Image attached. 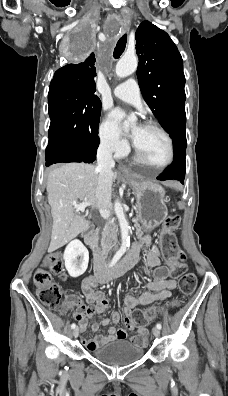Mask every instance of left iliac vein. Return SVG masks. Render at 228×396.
<instances>
[{
  "label": "left iliac vein",
  "mask_w": 228,
  "mask_h": 396,
  "mask_svg": "<svg viewBox=\"0 0 228 396\" xmlns=\"http://www.w3.org/2000/svg\"><path fill=\"white\" fill-rule=\"evenodd\" d=\"M152 333L155 337H159L160 336V329H158L157 327H154L152 329Z\"/></svg>",
  "instance_id": "left-iliac-vein-1"
}]
</instances>
